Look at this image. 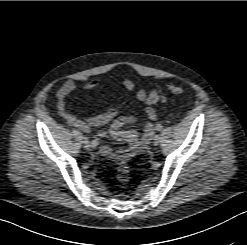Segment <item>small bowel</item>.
Instances as JSON below:
<instances>
[{"instance_id": "1", "label": "small bowel", "mask_w": 247, "mask_h": 245, "mask_svg": "<svg viewBox=\"0 0 247 245\" xmlns=\"http://www.w3.org/2000/svg\"><path fill=\"white\" fill-rule=\"evenodd\" d=\"M100 86L98 79H92L86 82L80 91H90ZM123 87L127 92H133L135 90V83L132 79L126 78L123 80ZM77 90V83L74 80H67L62 84L57 92V110L59 115L66 121V123L78 130L89 133L93 126H101L112 121V125L107 131H100L97 133L99 137L110 136L116 140L126 141L128 146L118 151H113L108 147H102L101 151L105 156H108L115 160H128L142 150L150 143L154 134V124L157 117L155 109L148 101L147 93L144 89H138L136 91V98L138 101L145 103V115L148 119L144 127L142 136L138 134L136 130H122V126L125 124L135 123L137 118L129 114H121V106H113L104 108L103 111L97 115L81 118L72 114L68 110L67 100L69 96Z\"/></svg>"}]
</instances>
